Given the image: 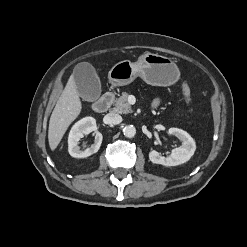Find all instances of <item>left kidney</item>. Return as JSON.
I'll list each match as a JSON object with an SVG mask.
<instances>
[{
	"mask_svg": "<svg viewBox=\"0 0 247 247\" xmlns=\"http://www.w3.org/2000/svg\"><path fill=\"white\" fill-rule=\"evenodd\" d=\"M168 134L176 136L181 141V146L173 149L168 157L161 156L156 150H151L149 152L150 161L164 166H176L190 160L196 149L194 139L186 131L179 128H170Z\"/></svg>",
	"mask_w": 247,
	"mask_h": 247,
	"instance_id": "obj_1",
	"label": "left kidney"
}]
</instances>
